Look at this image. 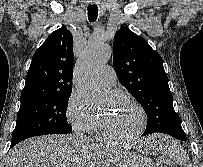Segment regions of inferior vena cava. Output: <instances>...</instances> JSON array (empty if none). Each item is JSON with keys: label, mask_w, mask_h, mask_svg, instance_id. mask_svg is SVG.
<instances>
[{"label": "inferior vena cava", "mask_w": 203, "mask_h": 167, "mask_svg": "<svg viewBox=\"0 0 203 167\" xmlns=\"http://www.w3.org/2000/svg\"><path fill=\"white\" fill-rule=\"evenodd\" d=\"M75 138L81 142H84V143H88L89 142V139L83 135L82 133L81 134H77L75 135Z\"/></svg>", "instance_id": "inferior-vena-cava-1"}]
</instances>
